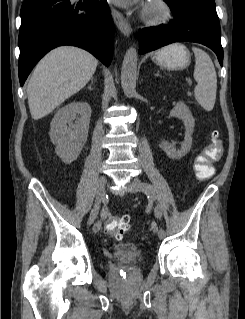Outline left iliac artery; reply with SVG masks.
<instances>
[{
    "instance_id": "1",
    "label": "left iliac artery",
    "mask_w": 245,
    "mask_h": 319,
    "mask_svg": "<svg viewBox=\"0 0 245 319\" xmlns=\"http://www.w3.org/2000/svg\"><path fill=\"white\" fill-rule=\"evenodd\" d=\"M142 189L145 192V194L148 196L149 199L153 200L155 198L154 193H153V188L149 183H142ZM162 215L161 209L159 206L155 207V216L157 218H160ZM160 233L165 236V230L163 228H160Z\"/></svg>"
}]
</instances>
